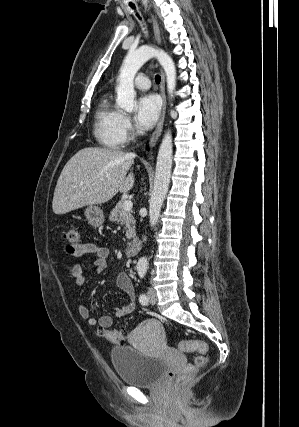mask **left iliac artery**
Segmentation results:
<instances>
[{"instance_id": "left-iliac-artery-1", "label": "left iliac artery", "mask_w": 299, "mask_h": 427, "mask_svg": "<svg viewBox=\"0 0 299 427\" xmlns=\"http://www.w3.org/2000/svg\"><path fill=\"white\" fill-rule=\"evenodd\" d=\"M138 274H139L140 278L143 279L145 277V275H146V270L145 269H139L138 270ZM139 302L142 305H147L148 304L147 296L145 294H143V293L140 294L139 295Z\"/></svg>"}]
</instances>
